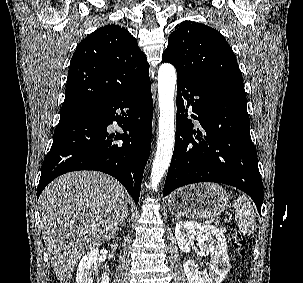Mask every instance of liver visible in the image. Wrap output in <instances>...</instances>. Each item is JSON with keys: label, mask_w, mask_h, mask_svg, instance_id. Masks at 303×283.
<instances>
[{"label": "liver", "mask_w": 303, "mask_h": 283, "mask_svg": "<svg viewBox=\"0 0 303 283\" xmlns=\"http://www.w3.org/2000/svg\"><path fill=\"white\" fill-rule=\"evenodd\" d=\"M39 204L52 267L60 283H69L80 258L115 235L128 201L116 179L101 172L79 171L51 182Z\"/></svg>", "instance_id": "1"}]
</instances>
